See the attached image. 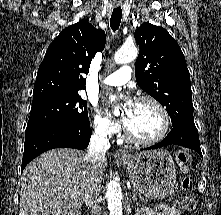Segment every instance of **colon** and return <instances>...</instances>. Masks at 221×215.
<instances>
[{
  "label": "colon",
  "instance_id": "5ec220e1",
  "mask_svg": "<svg viewBox=\"0 0 221 215\" xmlns=\"http://www.w3.org/2000/svg\"><path fill=\"white\" fill-rule=\"evenodd\" d=\"M176 162H177L178 167L182 171L186 172V171H188V169L192 163V156L190 155V153H188L186 151H179L176 156ZM182 185L185 189H187L190 185L189 178H185L183 180ZM178 206L181 209H183L187 212H190V211L194 210L195 202L191 197H183L178 201Z\"/></svg>",
  "mask_w": 221,
  "mask_h": 215
}]
</instances>
